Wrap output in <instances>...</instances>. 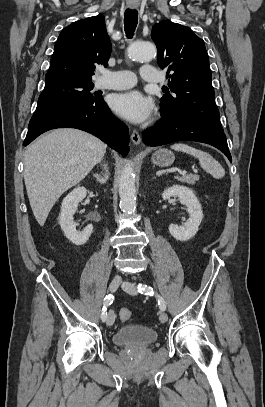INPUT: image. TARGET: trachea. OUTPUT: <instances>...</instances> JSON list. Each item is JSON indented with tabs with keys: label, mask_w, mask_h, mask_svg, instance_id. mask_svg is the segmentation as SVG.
<instances>
[{
	"label": "trachea",
	"mask_w": 265,
	"mask_h": 407,
	"mask_svg": "<svg viewBox=\"0 0 265 407\" xmlns=\"http://www.w3.org/2000/svg\"><path fill=\"white\" fill-rule=\"evenodd\" d=\"M138 23V12L136 10L127 9L124 14V29L126 36L132 38Z\"/></svg>",
	"instance_id": "1"
}]
</instances>
